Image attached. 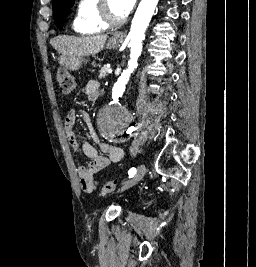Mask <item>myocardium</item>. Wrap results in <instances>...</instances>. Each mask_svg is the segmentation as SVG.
Instances as JSON below:
<instances>
[{
  "instance_id": "myocardium-1",
  "label": "myocardium",
  "mask_w": 256,
  "mask_h": 267,
  "mask_svg": "<svg viewBox=\"0 0 256 267\" xmlns=\"http://www.w3.org/2000/svg\"><path fill=\"white\" fill-rule=\"evenodd\" d=\"M113 0H101V8L99 11V22L104 30H110L114 25L110 24L109 8Z\"/></svg>"
}]
</instances>
